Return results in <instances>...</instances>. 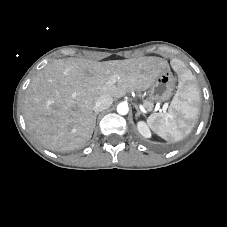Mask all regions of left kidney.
Wrapping results in <instances>:
<instances>
[{
    "label": "left kidney",
    "mask_w": 227,
    "mask_h": 227,
    "mask_svg": "<svg viewBox=\"0 0 227 227\" xmlns=\"http://www.w3.org/2000/svg\"><path fill=\"white\" fill-rule=\"evenodd\" d=\"M137 129L139 131V133L145 137V138H150L151 137V131L147 125L146 122L144 121H138L137 122Z\"/></svg>",
    "instance_id": "left-kidney-1"
}]
</instances>
